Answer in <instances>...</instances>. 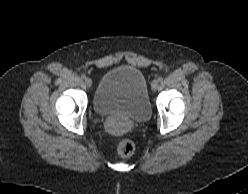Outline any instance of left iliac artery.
Instances as JSON below:
<instances>
[{"mask_svg":"<svg viewBox=\"0 0 248 194\" xmlns=\"http://www.w3.org/2000/svg\"><path fill=\"white\" fill-rule=\"evenodd\" d=\"M158 81H159V82H162V81H163V78H162V77H159V78H158Z\"/></svg>","mask_w":248,"mask_h":194,"instance_id":"1","label":"left iliac artery"}]
</instances>
